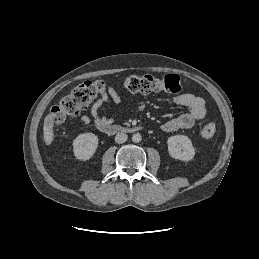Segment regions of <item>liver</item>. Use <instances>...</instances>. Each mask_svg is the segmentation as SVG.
<instances>
[{"instance_id": "obj_1", "label": "liver", "mask_w": 259, "mask_h": 259, "mask_svg": "<svg viewBox=\"0 0 259 259\" xmlns=\"http://www.w3.org/2000/svg\"><path fill=\"white\" fill-rule=\"evenodd\" d=\"M53 119L54 117L52 114H48L44 119V126H43L44 142L48 146H50L54 140V132H53L54 120Z\"/></svg>"}]
</instances>
